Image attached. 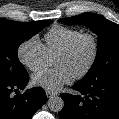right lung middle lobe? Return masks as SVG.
I'll return each mask as SVG.
<instances>
[{
	"label": "right lung middle lobe",
	"mask_w": 119,
	"mask_h": 119,
	"mask_svg": "<svg viewBox=\"0 0 119 119\" xmlns=\"http://www.w3.org/2000/svg\"><path fill=\"white\" fill-rule=\"evenodd\" d=\"M52 21L15 22L0 19V82L16 81L27 74L18 60V47Z\"/></svg>",
	"instance_id": "dd1d6c3e"
}]
</instances>
